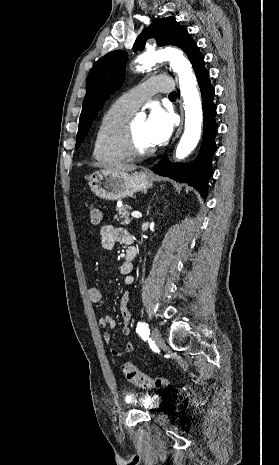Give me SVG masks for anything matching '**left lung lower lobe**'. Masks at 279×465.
Segmentation results:
<instances>
[{
    "label": "left lung lower lobe",
    "instance_id": "left-lung-lower-lobe-1",
    "mask_svg": "<svg viewBox=\"0 0 279 465\" xmlns=\"http://www.w3.org/2000/svg\"><path fill=\"white\" fill-rule=\"evenodd\" d=\"M192 66L200 87L204 112L203 138L199 155L194 161L188 164H171L167 157L163 156L162 160L152 170L158 175L166 176L179 182H186L196 187L202 197L206 198L208 179L212 176L211 159L216 151V106L213 103L214 88L210 84L209 72L205 68L203 55Z\"/></svg>",
    "mask_w": 279,
    "mask_h": 465
}]
</instances>
